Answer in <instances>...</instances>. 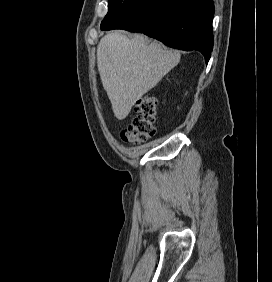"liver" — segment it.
I'll use <instances>...</instances> for the list:
<instances>
[{"instance_id": "liver-1", "label": "liver", "mask_w": 272, "mask_h": 282, "mask_svg": "<svg viewBox=\"0 0 272 282\" xmlns=\"http://www.w3.org/2000/svg\"><path fill=\"white\" fill-rule=\"evenodd\" d=\"M180 61V53L140 34L129 38L120 31L105 35L97 47V66L118 120Z\"/></svg>"}]
</instances>
